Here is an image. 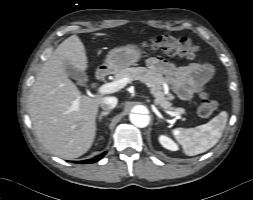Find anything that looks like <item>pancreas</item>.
Listing matches in <instances>:
<instances>
[{
  "mask_svg": "<svg viewBox=\"0 0 253 200\" xmlns=\"http://www.w3.org/2000/svg\"><path fill=\"white\" fill-rule=\"evenodd\" d=\"M127 78L128 82L133 80H140L145 83L151 90L155 100L159 106L166 110H174V112L181 114L184 113L183 108L171 107L170 100L173 99L171 95H164V83L166 79L156 70L147 69L145 67H127L115 73V80Z\"/></svg>",
  "mask_w": 253,
  "mask_h": 200,
  "instance_id": "obj_1",
  "label": "pancreas"
}]
</instances>
